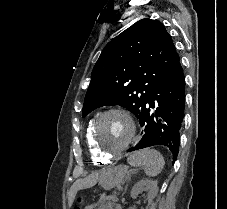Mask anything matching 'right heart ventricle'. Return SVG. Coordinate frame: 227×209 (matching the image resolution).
<instances>
[{
    "label": "right heart ventricle",
    "mask_w": 227,
    "mask_h": 209,
    "mask_svg": "<svg viewBox=\"0 0 227 209\" xmlns=\"http://www.w3.org/2000/svg\"><path fill=\"white\" fill-rule=\"evenodd\" d=\"M94 121H95V118H92L88 122V124L85 128V142H86L89 154L91 156V159L94 163H108L111 158L101 156L97 152V150L92 142V127H93Z\"/></svg>",
    "instance_id": "obj_1"
}]
</instances>
